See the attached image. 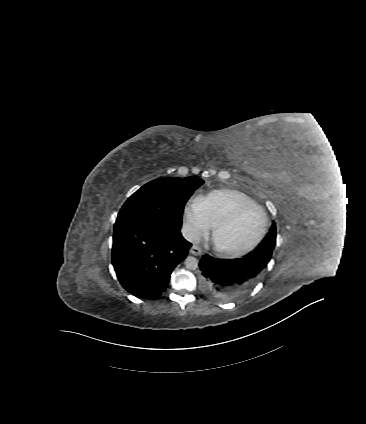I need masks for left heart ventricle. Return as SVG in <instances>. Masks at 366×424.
<instances>
[{
  "label": "left heart ventricle",
  "mask_w": 366,
  "mask_h": 424,
  "mask_svg": "<svg viewBox=\"0 0 366 424\" xmlns=\"http://www.w3.org/2000/svg\"><path fill=\"white\" fill-rule=\"evenodd\" d=\"M263 223V216L258 209H247L217 232L216 242L231 249L245 247L257 238Z\"/></svg>",
  "instance_id": "left-heart-ventricle-1"
}]
</instances>
